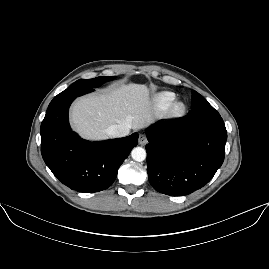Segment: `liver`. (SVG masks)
I'll use <instances>...</instances> for the list:
<instances>
[{"label": "liver", "mask_w": 269, "mask_h": 269, "mask_svg": "<svg viewBox=\"0 0 269 269\" xmlns=\"http://www.w3.org/2000/svg\"><path fill=\"white\" fill-rule=\"evenodd\" d=\"M149 90L146 85L130 83L113 86L103 94L77 99L71 107L72 128L92 140L107 138L106 129L127 124L132 129L153 122Z\"/></svg>", "instance_id": "liver-1"}]
</instances>
